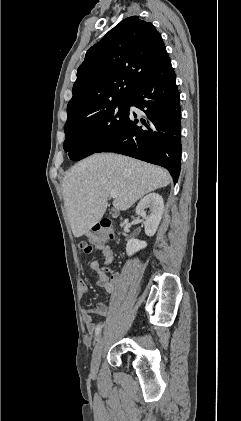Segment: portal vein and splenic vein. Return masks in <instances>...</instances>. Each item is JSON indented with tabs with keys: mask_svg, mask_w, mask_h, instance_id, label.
<instances>
[{
	"mask_svg": "<svg viewBox=\"0 0 241 421\" xmlns=\"http://www.w3.org/2000/svg\"><path fill=\"white\" fill-rule=\"evenodd\" d=\"M109 195H110L111 198H116L117 197V192L116 191H111Z\"/></svg>",
	"mask_w": 241,
	"mask_h": 421,
	"instance_id": "obj_1",
	"label": "portal vein and splenic vein"
}]
</instances>
